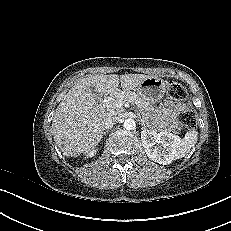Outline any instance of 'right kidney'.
<instances>
[{"label": "right kidney", "instance_id": "ca27d5eb", "mask_svg": "<svg viewBox=\"0 0 231 231\" xmlns=\"http://www.w3.org/2000/svg\"><path fill=\"white\" fill-rule=\"evenodd\" d=\"M97 150L96 149H92L91 151L87 152V157H92L96 154Z\"/></svg>", "mask_w": 231, "mask_h": 231}]
</instances>
